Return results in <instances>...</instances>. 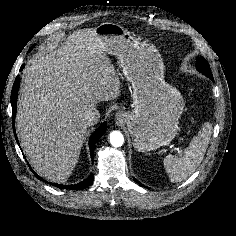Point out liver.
I'll list each match as a JSON object with an SVG mask.
<instances>
[{
  "instance_id": "1",
  "label": "liver",
  "mask_w": 236,
  "mask_h": 236,
  "mask_svg": "<svg viewBox=\"0 0 236 236\" xmlns=\"http://www.w3.org/2000/svg\"><path fill=\"white\" fill-rule=\"evenodd\" d=\"M120 95L115 68L94 28L74 31L30 61L17 106L21 147L38 174L65 182L87 134L83 113Z\"/></svg>"
}]
</instances>
